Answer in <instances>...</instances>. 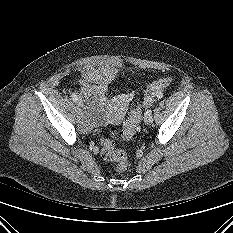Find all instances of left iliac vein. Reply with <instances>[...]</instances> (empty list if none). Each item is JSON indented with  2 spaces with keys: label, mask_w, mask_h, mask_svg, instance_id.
<instances>
[{
  "label": "left iliac vein",
  "mask_w": 233,
  "mask_h": 233,
  "mask_svg": "<svg viewBox=\"0 0 233 233\" xmlns=\"http://www.w3.org/2000/svg\"><path fill=\"white\" fill-rule=\"evenodd\" d=\"M144 122L146 124H151L153 122V116L151 114H146L144 115Z\"/></svg>",
  "instance_id": "obj_1"
}]
</instances>
